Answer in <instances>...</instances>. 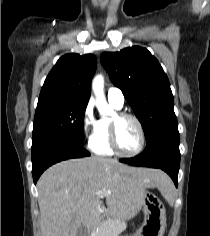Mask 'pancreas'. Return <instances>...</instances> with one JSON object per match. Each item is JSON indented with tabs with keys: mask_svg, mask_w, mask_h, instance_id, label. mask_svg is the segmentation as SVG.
<instances>
[{
	"mask_svg": "<svg viewBox=\"0 0 210 236\" xmlns=\"http://www.w3.org/2000/svg\"><path fill=\"white\" fill-rule=\"evenodd\" d=\"M126 222L120 216L108 217L97 230H93L91 236H103L108 233V236H117L126 228Z\"/></svg>",
	"mask_w": 210,
	"mask_h": 236,
	"instance_id": "pancreas-1",
	"label": "pancreas"
}]
</instances>
